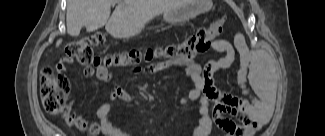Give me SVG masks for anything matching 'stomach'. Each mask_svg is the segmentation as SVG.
I'll return each mask as SVG.
<instances>
[{
	"instance_id": "1",
	"label": "stomach",
	"mask_w": 325,
	"mask_h": 136,
	"mask_svg": "<svg viewBox=\"0 0 325 136\" xmlns=\"http://www.w3.org/2000/svg\"><path fill=\"white\" fill-rule=\"evenodd\" d=\"M212 6V0H186L178 9L165 12L164 19L168 23H180L197 14L208 11Z\"/></svg>"
}]
</instances>
